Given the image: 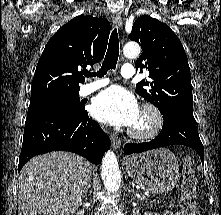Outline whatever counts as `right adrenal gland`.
Returning a JSON list of instances; mask_svg holds the SVG:
<instances>
[{
    "label": "right adrenal gland",
    "instance_id": "1",
    "mask_svg": "<svg viewBox=\"0 0 221 215\" xmlns=\"http://www.w3.org/2000/svg\"><path fill=\"white\" fill-rule=\"evenodd\" d=\"M91 188V181H89V183L87 184L85 190H84V195H83V198H86L87 197V193L88 191L90 190Z\"/></svg>",
    "mask_w": 221,
    "mask_h": 215
}]
</instances>
